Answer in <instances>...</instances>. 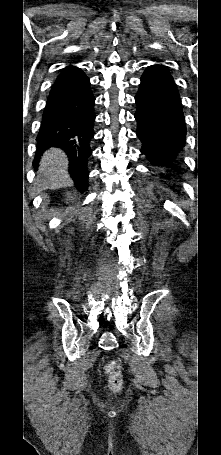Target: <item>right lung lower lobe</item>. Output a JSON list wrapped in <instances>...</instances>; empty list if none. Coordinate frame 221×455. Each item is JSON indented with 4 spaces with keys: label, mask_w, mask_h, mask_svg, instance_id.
<instances>
[{
    "label": "right lung lower lobe",
    "mask_w": 221,
    "mask_h": 455,
    "mask_svg": "<svg viewBox=\"0 0 221 455\" xmlns=\"http://www.w3.org/2000/svg\"><path fill=\"white\" fill-rule=\"evenodd\" d=\"M94 104L89 78L78 67L67 66L52 86L36 138L34 164L46 149H62L69 159V174L81 192L88 187L87 161L92 153Z\"/></svg>",
    "instance_id": "right-lung-lower-lobe-1"
}]
</instances>
